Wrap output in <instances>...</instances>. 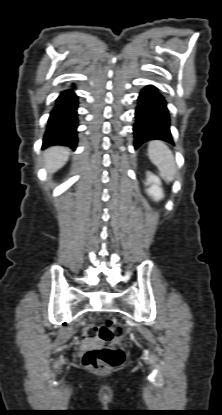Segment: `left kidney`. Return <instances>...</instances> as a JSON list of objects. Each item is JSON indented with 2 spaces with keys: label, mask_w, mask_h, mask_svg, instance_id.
<instances>
[{
  "label": "left kidney",
  "mask_w": 222,
  "mask_h": 415,
  "mask_svg": "<svg viewBox=\"0 0 222 415\" xmlns=\"http://www.w3.org/2000/svg\"><path fill=\"white\" fill-rule=\"evenodd\" d=\"M146 185H150L146 191L155 201H159L163 198L164 194L161 188V180L158 176L151 172H147Z\"/></svg>",
  "instance_id": "left-kidney-1"
}]
</instances>
